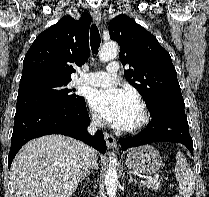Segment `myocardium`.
Returning a JSON list of instances; mask_svg holds the SVG:
<instances>
[{"mask_svg":"<svg viewBox=\"0 0 209 197\" xmlns=\"http://www.w3.org/2000/svg\"><path fill=\"white\" fill-rule=\"evenodd\" d=\"M138 110H139V116L137 121L128 127L126 130L128 132H136L141 130L143 127H145L149 122V112L145 106V104L142 101L138 102Z\"/></svg>","mask_w":209,"mask_h":197,"instance_id":"1","label":"myocardium"}]
</instances>
